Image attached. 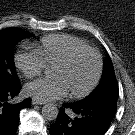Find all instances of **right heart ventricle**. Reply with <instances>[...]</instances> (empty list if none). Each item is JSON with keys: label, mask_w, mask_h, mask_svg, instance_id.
Instances as JSON below:
<instances>
[{"label": "right heart ventricle", "mask_w": 135, "mask_h": 135, "mask_svg": "<svg viewBox=\"0 0 135 135\" xmlns=\"http://www.w3.org/2000/svg\"><path fill=\"white\" fill-rule=\"evenodd\" d=\"M88 46L83 39L72 35L51 34L41 38L35 50L40 54L45 65L53 66L73 49Z\"/></svg>", "instance_id": "1"}]
</instances>
